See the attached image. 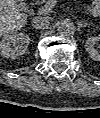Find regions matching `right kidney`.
Masks as SVG:
<instances>
[{
	"label": "right kidney",
	"mask_w": 100,
	"mask_h": 118,
	"mask_svg": "<svg viewBox=\"0 0 100 118\" xmlns=\"http://www.w3.org/2000/svg\"><path fill=\"white\" fill-rule=\"evenodd\" d=\"M30 38L22 32H13L0 41V54L5 58L16 59L23 55L28 46Z\"/></svg>",
	"instance_id": "obj_1"
}]
</instances>
